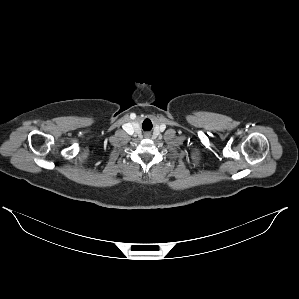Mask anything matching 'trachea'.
Here are the masks:
<instances>
[{
	"mask_svg": "<svg viewBox=\"0 0 299 299\" xmlns=\"http://www.w3.org/2000/svg\"><path fill=\"white\" fill-rule=\"evenodd\" d=\"M145 121H148L149 123H151L150 120H147V119H146ZM143 125H144V123H143Z\"/></svg>",
	"mask_w": 299,
	"mask_h": 299,
	"instance_id": "trachea-1",
	"label": "trachea"
}]
</instances>
